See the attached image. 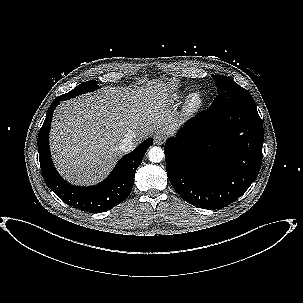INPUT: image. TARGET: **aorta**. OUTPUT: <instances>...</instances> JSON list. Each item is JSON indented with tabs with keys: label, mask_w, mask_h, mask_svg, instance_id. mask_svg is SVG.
Returning a JSON list of instances; mask_svg holds the SVG:
<instances>
[{
	"label": "aorta",
	"mask_w": 303,
	"mask_h": 303,
	"mask_svg": "<svg viewBox=\"0 0 303 303\" xmlns=\"http://www.w3.org/2000/svg\"><path fill=\"white\" fill-rule=\"evenodd\" d=\"M148 157L152 163H159L164 158V151L160 147L153 146L148 152Z\"/></svg>",
	"instance_id": "aorta-1"
}]
</instances>
